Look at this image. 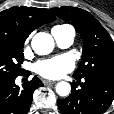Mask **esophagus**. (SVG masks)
Segmentation results:
<instances>
[{"mask_svg": "<svg viewBox=\"0 0 114 114\" xmlns=\"http://www.w3.org/2000/svg\"><path fill=\"white\" fill-rule=\"evenodd\" d=\"M55 83H56V81L43 80L44 85H51V84H55Z\"/></svg>", "mask_w": 114, "mask_h": 114, "instance_id": "esophagus-1", "label": "esophagus"}]
</instances>
